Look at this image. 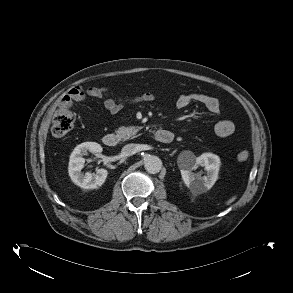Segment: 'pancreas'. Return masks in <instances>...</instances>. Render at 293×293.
<instances>
[{"label": "pancreas", "mask_w": 293, "mask_h": 293, "mask_svg": "<svg viewBox=\"0 0 293 293\" xmlns=\"http://www.w3.org/2000/svg\"><path fill=\"white\" fill-rule=\"evenodd\" d=\"M140 130L139 127H134V126H121L117 129V134L123 139V140H128L130 138L135 137L137 132Z\"/></svg>", "instance_id": "pancreas-1"}]
</instances>
